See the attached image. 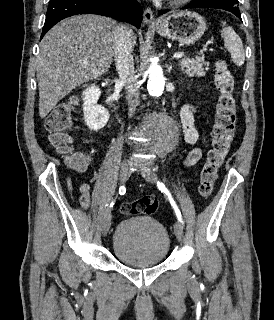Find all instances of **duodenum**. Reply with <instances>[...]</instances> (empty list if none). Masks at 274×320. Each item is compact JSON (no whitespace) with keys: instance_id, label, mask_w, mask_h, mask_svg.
<instances>
[{"instance_id":"410a0bca","label":"duodenum","mask_w":274,"mask_h":320,"mask_svg":"<svg viewBox=\"0 0 274 320\" xmlns=\"http://www.w3.org/2000/svg\"><path fill=\"white\" fill-rule=\"evenodd\" d=\"M114 86H115V81L113 79L109 80L106 83L105 93H104L106 103L111 109H116L118 106V103L115 97Z\"/></svg>"}]
</instances>
